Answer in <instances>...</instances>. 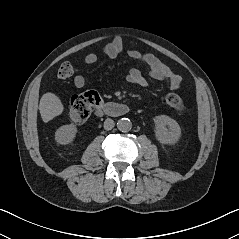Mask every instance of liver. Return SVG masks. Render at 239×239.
Returning <instances> with one entry per match:
<instances>
[{"mask_svg":"<svg viewBox=\"0 0 239 239\" xmlns=\"http://www.w3.org/2000/svg\"><path fill=\"white\" fill-rule=\"evenodd\" d=\"M63 110L64 106L58 96L51 92L43 94L39 103V111L43 122H49L60 115Z\"/></svg>","mask_w":239,"mask_h":239,"instance_id":"obj_1","label":"liver"}]
</instances>
